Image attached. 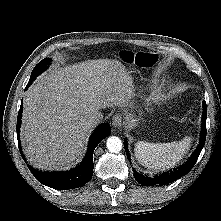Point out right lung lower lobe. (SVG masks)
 Masks as SVG:
<instances>
[{"instance_id": "right-lung-lower-lobe-1", "label": "right lung lower lobe", "mask_w": 221, "mask_h": 221, "mask_svg": "<svg viewBox=\"0 0 221 221\" xmlns=\"http://www.w3.org/2000/svg\"><path fill=\"white\" fill-rule=\"evenodd\" d=\"M34 79L29 80L25 89H27ZM23 102L17 117V137L19 142V127L21 124ZM110 126L108 123L100 125L90 138L89 148L84 160L75 169L67 172H40L28 166L34 177L42 184L59 190L74 189L86 184L93 175V151L96 146L108 135H110ZM21 152V148H20ZM22 154V152H21Z\"/></svg>"}]
</instances>
